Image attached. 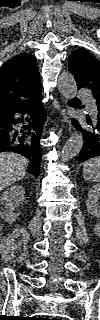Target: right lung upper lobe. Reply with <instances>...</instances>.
<instances>
[{"instance_id":"1","label":"right lung upper lobe","mask_w":100,"mask_h":320,"mask_svg":"<svg viewBox=\"0 0 100 320\" xmlns=\"http://www.w3.org/2000/svg\"><path fill=\"white\" fill-rule=\"evenodd\" d=\"M41 92L36 58L27 53L9 59L0 69V114Z\"/></svg>"}]
</instances>
